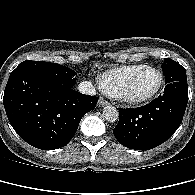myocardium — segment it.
Wrapping results in <instances>:
<instances>
[{"label":"myocardium","instance_id":"obj_1","mask_svg":"<svg viewBox=\"0 0 195 195\" xmlns=\"http://www.w3.org/2000/svg\"><path fill=\"white\" fill-rule=\"evenodd\" d=\"M147 70L155 71L159 75V83H158L156 89L145 96L138 97V96L132 95L131 88H132L134 81L141 73H143L144 71H147ZM163 85H164V75H163L162 71L156 67H153V66H144V67L140 68L139 70H137L134 74H132V76L125 83L121 93L118 96H116L115 98H118L119 100H121L125 103H128V104H132V105L144 104V103H147V102L151 101L152 99H154L161 92Z\"/></svg>","mask_w":195,"mask_h":195}]
</instances>
